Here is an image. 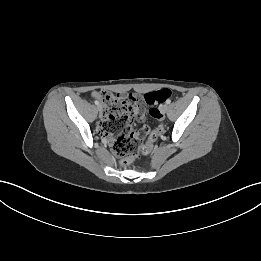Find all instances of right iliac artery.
Returning <instances> with one entry per match:
<instances>
[{
	"mask_svg": "<svg viewBox=\"0 0 261 261\" xmlns=\"http://www.w3.org/2000/svg\"><path fill=\"white\" fill-rule=\"evenodd\" d=\"M95 104H96V105H99V102L96 100V101H95Z\"/></svg>",
	"mask_w": 261,
	"mask_h": 261,
	"instance_id": "right-iliac-artery-1",
	"label": "right iliac artery"
}]
</instances>
